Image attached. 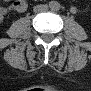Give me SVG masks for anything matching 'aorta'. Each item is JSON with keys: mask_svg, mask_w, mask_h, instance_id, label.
Wrapping results in <instances>:
<instances>
[{"mask_svg": "<svg viewBox=\"0 0 91 91\" xmlns=\"http://www.w3.org/2000/svg\"><path fill=\"white\" fill-rule=\"evenodd\" d=\"M49 6L52 10H59L60 9V3L57 1H51Z\"/></svg>", "mask_w": 91, "mask_h": 91, "instance_id": "762f6f07", "label": "aorta"}]
</instances>
